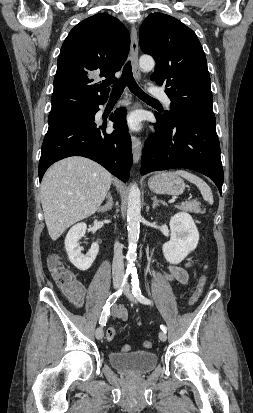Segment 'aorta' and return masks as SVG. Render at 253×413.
<instances>
[{"instance_id": "aorta-1", "label": "aorta", "mask_w": 253, "mask_h": 413, "mask_svg": "<svg viewBox=\"0 0 253 413\" xmlns=\"http://www.w3.org/2000/svg\"><path fill=\"white\" fill-rule=\"evenodd\" d=\"M139 67L142 71L148 72L155 67L154 59L149 55H142L139 59ZM140 189L133 184L128 193L127 206V230H128V271L134 270V261L136 259V247L140 232L141 219V198Z\"/></svg>"}]
</instances>
